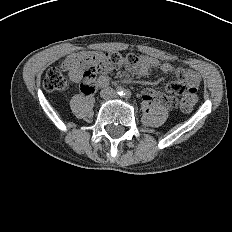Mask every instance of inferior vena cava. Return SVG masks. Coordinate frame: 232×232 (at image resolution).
Wrapping results in <instances>:
<instances>
[{
  "label": "inferior vena cava",
  "instance_id": "obj_1",
  "mask_svg": "<svg viewBox=\"0 0 232 232\" xmlns=\"http://www.w3.org/2000/svg\"><path fill=\"white\" fill-rule=\"evenodd\" d=\"M116 95L115 91L112 88H106L102 92V96L105 98H111Z\"/></svg>",
  "mask_w": 232,
  "mask_h": 232
}]
</instances>
